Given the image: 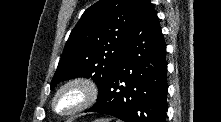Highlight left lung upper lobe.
Wrapping results in <instances>:
<instances>
[{
  "label": "left lung upper lobe",
  "mask_w": 221,
  "mask_h": 122,
  "mask_svg": "<svg viewBox=\"0 0 221 122\" xmlns=\"http://www.w3.org/2000/svg\"><path fill=\"white\" fill-rule=\"evenodd\" d=\"M141 0H100L81 16L51 81L92 78L104 92L131 33Z\"/></svg>",
  "instance_id": "5c2ea615"
}]
</instances>
